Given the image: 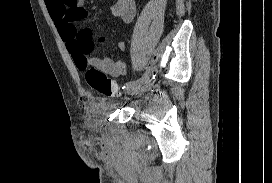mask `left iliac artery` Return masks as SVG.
<instances>
[{"instance_id": "44dca946", "label": "left iliac artery", "mask_w": 272, "mask_h": 183, "mask_svg": "<svg viewBox=\"0 0 272 183\" xmlns=\"http://www.w3.org/2000/svg\"><path fill=\"white\" fill-rule=\"evenodd\" d=\"M151 76L152 74L150 70L148 69L139 79L126 83L123 89L130 91L133 88H142L145 85L146 81H148ZM153 78H154V75H153Z\"/></svg>"}]
</instances>
